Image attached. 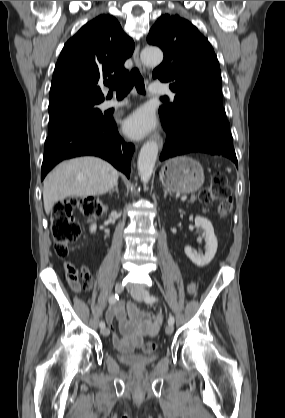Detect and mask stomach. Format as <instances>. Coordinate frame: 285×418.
<instances>
[{"label": "stomach", "instance_id": "0dacf381", "mask_svg": "<svg viewBox=\"0 0 285 418\" xmlns=\"http://www.w3.org/2000/svg\"><path fill=\"white\" fill-rule=\"evenodd\" d=\"M160 180L169 191L192 193L203 185L204 172L197 161L189 157H177L163 165Z\"/></svg>", "mask_w": 285, "mask_h": 418}]
</instances>
